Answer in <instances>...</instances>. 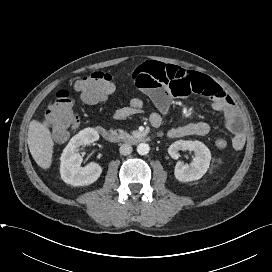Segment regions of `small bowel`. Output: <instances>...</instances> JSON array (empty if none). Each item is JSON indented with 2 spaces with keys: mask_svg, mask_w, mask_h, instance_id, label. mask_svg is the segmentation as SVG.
Returning a JSON list of instances; mask_svg holds the SVG:
<instances>
[{
  "mask_svg": "<svg viewBox=\"0 0 272 272\" xmlns=\"http://www.w3.org/2000/svg\"><path fill=\"white\" fill-rule=\"evenodd\" d=\"M132 81L138 89L152 99L159 111L149 115V121L153 127L160 126L161 115L168 114L173 98L197 93L209 98L212 108L223 114L226 127L233 134V148L241 150L244 147L246 135L242 129L236 105L222 87L209 77L175 65L147 61L133 71ZM140 112L125 106L116 110L113 117L115 120H124ZM210 130L209 123L197 121L171 128L165 133L160 132L159 135L175 139L186 136H204Z\"/></svg>",
  "mask_w": 272,
  "mask_h": 272,
  "instance_id": "1",
  "label": "small bowel"
}]
</instances>
